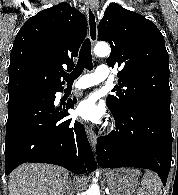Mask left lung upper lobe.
<instances>
[{"label": "left lung upper lobe", "instance_id": "1", "mask_svg": "<svg viewBox=\"0 0 178 195\" xmlns=\"http://www.w3.org/2000/svg\"><path fill=\"white\" fill-rule=\"evenodd\" d=\"M98 36L111 46L107 64L121 68L117 75L120 85L106 99L110 111L121 114L142 107L171 115L169 56L155 24L111 3L99 23Z\"/></svg>", "mask_w": 178, "mask_h": 195}]
</instances>
